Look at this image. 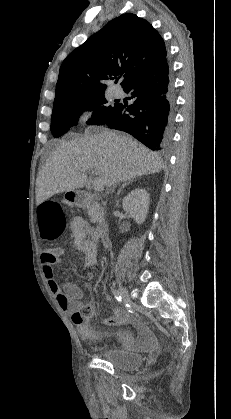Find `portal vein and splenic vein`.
Returning <instances> with one entry per match:
<instances>
[{"mask_svg": "<svg viewBox=\"0 0 231 419\" xmlns=\"http://www.w3.org/2000/svg\"><path fill=\"white\" fill-rule=\"evenodd\" d=\"M93 188L96 192H101L104 189V184L100 178L94 180Z\"/></svg>", "mask_w": 231, "mask_h": 419, "instance_id": "obj_1", "label": "portal vein and splenic vein"}]
</instances>
